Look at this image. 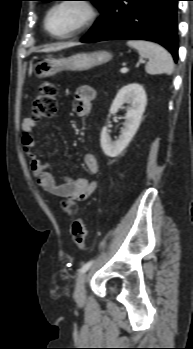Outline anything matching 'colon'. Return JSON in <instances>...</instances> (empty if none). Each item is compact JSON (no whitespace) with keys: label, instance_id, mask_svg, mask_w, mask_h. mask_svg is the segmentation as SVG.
<instances>
[{"label":"colon","instance_id":"obj_1","mask_svg":"<svg viewBox=\"0 0 193 349\" xmlns=\"http://www.w3.org/2000/svg\"><path fill=\"white\" fill-rule=\"evenodd\" d=\"M57 89L50 82H44L34 99L31 118L34 120H42L53 117L57 112ZM71 235L75 245L79 249H84L87 243L88 231L82 218H76L71 224Z\"/></svg>","mask_w":193,"mask_h":349}]
</instances>
